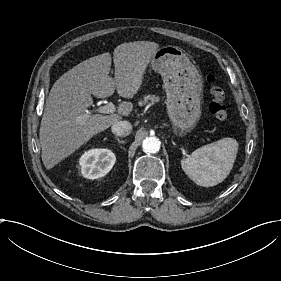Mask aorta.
Returning a JSON list of instances; mask_svg holds the SVG:
<instances>
[{
	"label": "aorta",
	"mask_w": 281,
	"mask_h": 281,
	"mask_svg": "<svg viewBox=\"0 0 281 281\" xmlns=\"http://www.w3.org/2000/svg\"><path fill=\"white\" fill-rule=\"evenodd\" d=\"M160 141L157 137H147L143 140L142 148L146 153H157L160 149Z\"/></svg>",
	"instance_id": "aorta-1"
}]
</instances>
